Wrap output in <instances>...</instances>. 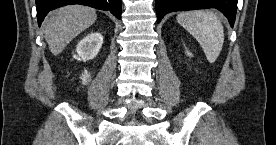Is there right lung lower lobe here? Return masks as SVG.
Listing matches in <instances>:
<instances>
[{
	"label": "right lung lower lobe",
	"mask_w": 276,
	"mask_h": 145,
	"mask_svg": "<svg viewBox=\"0 0 276 145\" xmlns=\"http://www.w3.org/2000/svg\"><path fill=\"white\" fill-rule=\"evenodd\" d=\"M68 4H82L100 10H109L116 18L121 19V0H36L38 25H41L50 10Z\"/></svg>",
	"instance_id": "1"
}]
</instances>
